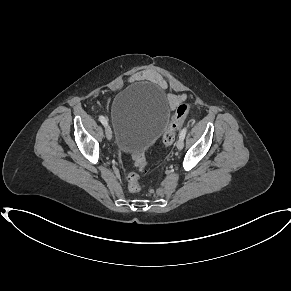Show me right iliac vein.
<instances>
[{"label":"right iliac vein","instance_id":"obj_1","mask_svg":"<svg viewBox=\"0 0 291 291\" xmlns=\"http://www.w3.org/2000/svg\"><path fill=\"white\" fill-rule=\"evenodd\" d=\"M105 134L108 140L112 139V131L108 125L105 126Z\"/></svg>","mask_w":291,"mask_h":291}]
</instances>
